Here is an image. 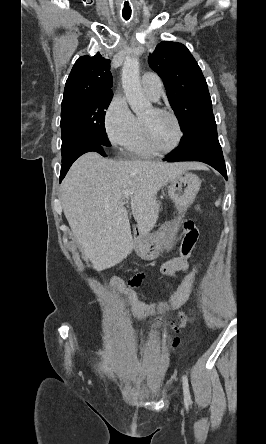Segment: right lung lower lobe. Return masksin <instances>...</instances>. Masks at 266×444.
Segmentation results:
<instances>
[{"label":"right lung lower lobe","mask_w":266,"mask_h":444,"mask_svg":"<svg viewBox=\"0 0 266 444\" xmlns=\"http://www.w3.org/2000/svg\"><path fill=\"white\" fill-rule=\"evenodd\" d=\"M105 146L97 143V142H85L81 144L76 151H74L72 154L67 156L66 158L62 159V166H61V173H60V182L65 177L66 173L68 172L70 166L73 164V162L80 157L82 154L87 152H97L101 154L102 156H106L104 152Z\"/></svg>","instance_id":"98d812e1"}]
</instances>
